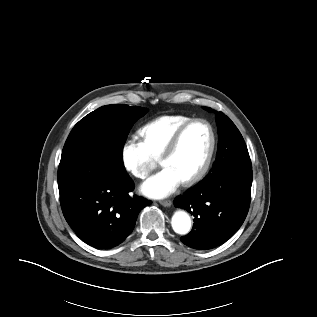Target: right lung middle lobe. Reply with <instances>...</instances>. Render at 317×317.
Masks as SVG:
<instances>
[{
	"mask_svg": "<svg viewBox=\"0 0 317 317\" xmlns=\"http://www.w3.org/2000/svg\"><path fill=\"white\" fill-rule=\"evenodd\" d=\"M146 113V108L114 104L100 107L81 119L64 145L58 181L98 160L108 159L124 166L122 150L127 135L133 123Z\"/></svg>",
	"mask_w": 317,
	"mask_h": 317,
	"instance_id": "dd1d6c3e",
	"label": "right lung middle lobe"
}]
</instances>
